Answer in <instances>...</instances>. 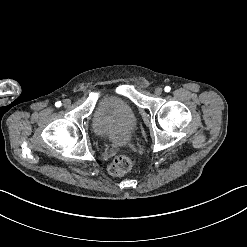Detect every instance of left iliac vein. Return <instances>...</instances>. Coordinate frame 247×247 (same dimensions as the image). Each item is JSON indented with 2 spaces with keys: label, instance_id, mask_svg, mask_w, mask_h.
<instances>
[{
  "label": "left iliac vein",
  "instance_id": "left-iliac-vein-1",
  "mask_svg": "<svg viewBox=\"0 0 247 247\" xmlns=\"http://www.w3.org/2000/svg\"><path fill=\"white\" fill-rule=\"evenodd\" d=\"M163 92V89L161 87H157L154 90L155 95L160 96Z\"/></svg>",
  "mask_w": 247,
  "mask_h": 247
}]
</instances>
